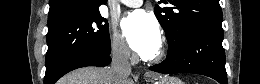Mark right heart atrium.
Here are the masks:
<instances>
[{"mask_svg":"<svg viewBox=\"0 0 260 84\" xmlns=\"http://www.w3.org/2000/svg\"><path fill=\"white\" fill-rule=\"evenodd\" d=\"M110 50L113 57L122 62H129L132 60V53L120 35V33L112 29L110 35Z\"/></svg>","mask_w":260,"mask_h":84,"instance_id":"d8ad5b80","label":"right heart atrium"}]
</instances>
